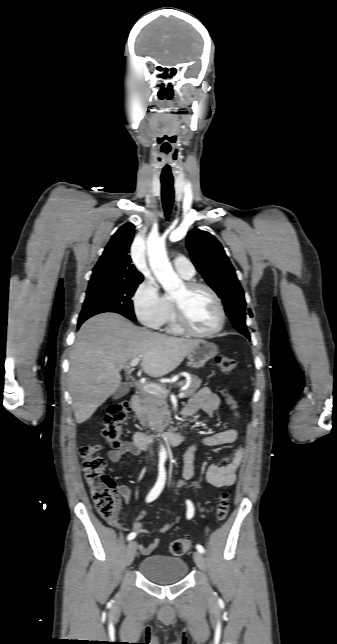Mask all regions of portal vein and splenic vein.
Returning <instances> with one entry per match:
<instances>
[{
    "instance_id": "obj_1",
    "label": "portal vein and splenic vein",
    "mask_w": 337,
    "mask_h": 644,
    "mask_svg": "<svg viewBox=\"0 0 337 644\" xmlns=\"http://www.w3.org/2000/svg\"><path fill=\"white\" fill-rule=\"evenodd\" d=\"M140 358L141 357H137V358L132 359L129 362L128 367H135L139 363ZM141 388H142V390H144V391H146L148 393H151V394H159V393H161V394H164L166 396L168 395V391L166 389H164L163 387H161L160 385H157V384H143L141 386ZM184 396H185L184 392H180L178 394L179 398H183Z\"/></svg>"
}]
</instances>
